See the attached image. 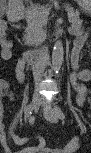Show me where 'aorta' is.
<instances>
[{"label": "aorta", "instance_id": "762f6f07", "mask_svg": "<svg viewBox=\"0 0 91 153\" xmlns=\"http://www.w3.org/2000/svg\"><path fill=\"white\" fill-rule=\"evenodd\" d=\"M64 49L61 41H56L52 51V67L58 73L62 66Z\"/></svg>", "mask_w": 91, "mask_h": 153}]
</instances>
